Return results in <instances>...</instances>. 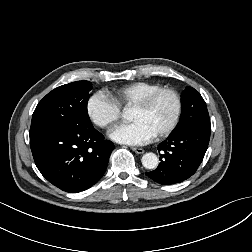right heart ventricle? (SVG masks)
<instances>
[{"label":"right heart ventricle","instance_id":"obj_1","mask_svg":"<svg viewBox=\"0 0 252 252\" xmlns=\"http://www.w3.org/2000/svg\"><path fill=\"white\" fill-rule=\"evenodd\" d=\"M162 88V85L153 82L139 81L124 85L113 93V100L120 106L133 107L148 94Z\"/></svg>","mask_w":252,"mask_h":252}]
</instances>
